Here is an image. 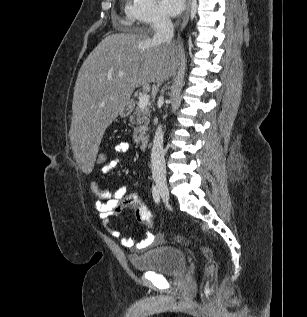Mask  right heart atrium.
<instances>
[{"instance_id": "obj_1", "label": "right heart atrium", "mask_w": 307, "mask_h": 317, "mask_svg": "<svg viewBox=\"0 0 307 317\" xmlns=\"http://www.w3.org/2000/svg\"><path fill=\"white\" fill-rule=\"evenodd\" d=\"M128 12L133 20L146 26L161 27L168 24V18L156 0H131Z\"/></svg>"}]
</instances>
